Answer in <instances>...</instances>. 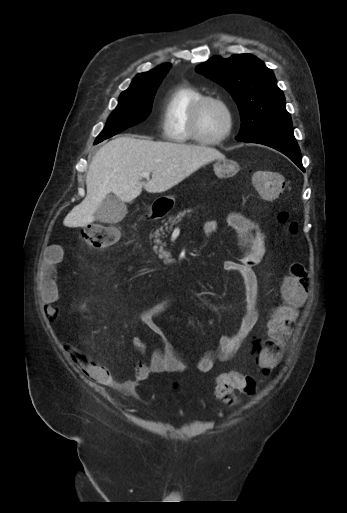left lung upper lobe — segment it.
<instances>
[{"label": "left lung upper lobe", "mask_w": 347, "mask_h": 513, "mask_svg": "<svg viewBox=\"0 0 347 513\" xmlns=\"http://www.w3.org/2000/svg\"><path fill=\"white\" fill-rule=\"evenodd\" d=\"M196 70L223 86L238 105L241 129L237 141H246L268 130L292 127L283 92L272 70L255 56L213 57Z\"/></svg>", "instance_id": "5c2ea615"}]
</instances>
